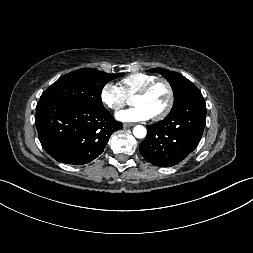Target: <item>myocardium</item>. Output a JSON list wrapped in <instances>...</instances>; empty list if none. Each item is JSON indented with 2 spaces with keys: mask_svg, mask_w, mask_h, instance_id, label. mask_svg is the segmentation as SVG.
Returning a JSON list of instances; mask_svg holds the SVG:
<instances>
[{
  "mask_svg": "<svg viewBox=\"0 0 253 253\" xmlns=\"http://www.w3.org/2000/svg\"><path fill=\"white\" fill-rule=\"evenodd\" d=\"M162 83L166 86L168 91V102L164 109L152 117L154 121H159L164 119L172 110L175 102V93L174 89L171 85V83L165 79V78H156L149 83H147L145 86H143L140 90H138L134 96H145L147 95L157 84Z\"/></svg>",
  "mask_w": 253,
  "mask_h": 253,
  "instance_id": "obj_1",
  "label": "myocardium"
}]
</instances>
